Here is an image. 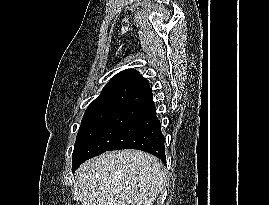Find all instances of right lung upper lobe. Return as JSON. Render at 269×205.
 <instances>
[{
  "label": "right lung upper lobe",
  "mask_w": 269,
  "mask_h": 205,
  "mask_svg": "<svg viewBox=\"0 0 269 205\" xmlns=\"http://www.w3.org/2000/svg\"><path fill=\"white\" fill-rule=\"evenodd\" d=\"M152 98L147 79L138 71L126 69L116 74L90 105H113L125 108L137 105Z\"/></svg>",
  "instance_id": "obj_1"
}]
</instances>
